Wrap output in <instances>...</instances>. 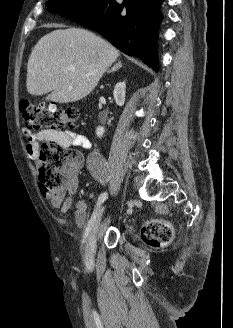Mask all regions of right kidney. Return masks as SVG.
Wrapping results in <instances>:
<instances>
[{
	"label": "right kidney",
	"mask_w": 233,
	"mask_h": 328,
	"mask_svg": "<svg viewBox=\"0 0 233 328\" xmlns=\"http://www.w3.org/2000/svg\"><path fill=\"white\" fill-rule=\"evenodd\" d=\"M125 89H126L125 82H120L115 85L113 96L118 106H123L125 102ZM104 132H105L104 127L98 126L96 128V134L98 137H102Z\"/></svg>",
	"instance_id": "1"
}]
</instances>
